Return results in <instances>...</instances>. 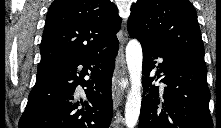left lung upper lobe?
<instances>
[{
	"instance_id": "5c2ea615",
	"label": "left lung upper lobe",
	"mask_w": 221,
	"mask_h": 128,
	"mask_svg": "<svg viewBox=\"0 0 221 128\" xmlns=\"http://www.w3.org/2000/svg\"><path fill=\"white\" fill-rule=\"evenodd\" d=\"M128 32L141 44L164 45L205 63L196 11L188 0H137Z\"/></svg>"
}]
</instances>
